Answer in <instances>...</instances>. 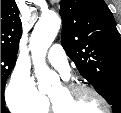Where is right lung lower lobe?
I'll list each match as a JSON object with an SVG mask.
<instances>
[{
    "instance_id": "right-lung-lower-lobe-1",
    "label": "right lung lower lobe",
    "mask_w": 121,
    "mask_h": 113,
    "mask_svg": "<svg viewBox=\"0 0 121 113\" xmlns=\"http://www.w3.org/2000/svg\"><path fill=\"white\" fill-rule=\"evenodd\" d=\"M1 113H9L5 105H1Z\"/></svg>"
}]
</instances>
